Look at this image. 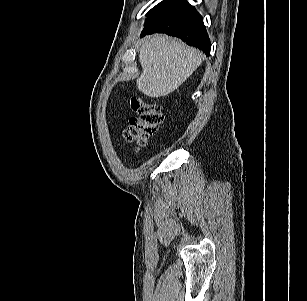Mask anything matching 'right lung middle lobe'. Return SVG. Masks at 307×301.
Here are the masks:
<instances>
[{
    "instance_id": "right-lung-middle-lobe-1",
    "label": "right lung middle lobe",
    "mask_w": 307,
    "mask_h": 301,
    "mask_svg": "<svg viewBox=\"0 0 307 301\" xmlns=\"http://www.w3.org/2000/svg\"><path fill=\"white\" fill-rule=\"evenodd\" d=\"M169 0H164L161 3H159L158 5H156L154 8H152L149 12L148 15H150L151 13H153L154 11H156L158 8H160L161 6H163L166 2H168Z\"/></svg>"
}]
</instances>
